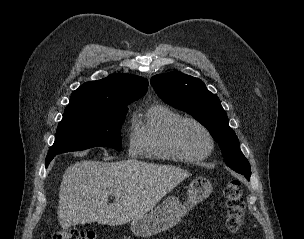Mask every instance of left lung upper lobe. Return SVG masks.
Listing matches in <instances>:
<instances>
[{
  "instance_id": "left-lung-upper-lobe-1",
  "label": "left lung upper lobe",
  "mask_w": 304,
  "mask_h": 239,
  "mask_svg": "<svg viewBox=\"0 0 304 239\" xmlns=\"http://www.w3.org/2000/svg\"><path fill=\"white\" fill-rule=\"evenodd\" d=\"M151 84L162 100L189 113L210 131L227 166L250 178V164L240 150L235 132L228 125L227 114L219 98L208 91L200 79L170 72L153 76Z\"/></svg>"
}]
</instances>
